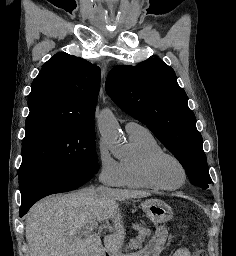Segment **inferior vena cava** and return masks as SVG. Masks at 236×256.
<instances>
[{"mask_svg": "<svg viewBox=\"0 0 236 256\" xmlns=\"http://www.w3.org/2000/svg\"><path fill=\"white\" fill-rule=\"evenodd\" d=\"M111 188H105V186H100V188H97V192H109Z\"/></svg>", "mask_w": 236, "mask_h": 256, "instance_id": "obj_1", "label": "inferior vena cava"}]
</instances>
